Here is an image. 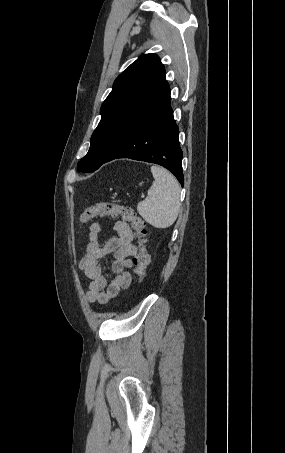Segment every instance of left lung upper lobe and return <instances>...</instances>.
<instances>
[{
    "label": "left lung upper lobe",
    "instance_id": "5c2ea615",
    "mask_svg": "<svg viewBox=\"0 0 285 453\" xmlns=\"http://www.w3.org/2000/svg\"><path fill=\"white\" fill-rule=\"evenodd\" d=\"M165 83V69L156 54L140 56L116 78L102 104V117L92 134L90 149L77 164L79 172H93L104 163L129 125Z\"/></svg>",
    "mask_w": 285,
    "mask_h": 453
}]
</instances>
